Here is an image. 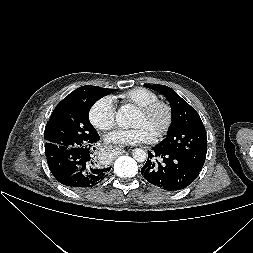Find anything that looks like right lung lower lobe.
Wrapping results in <instances>:
<instances>
[{
    "label": "right lung lower lobe",
    "mask_w": 253,
    "mask_h": 253,
    "mask_svg": "<svg viewBox=\"0 0 253 253\" xmlns=\"http://www.w3.org/2000/svg\"><path fill=\"white\" fill-rule=\"evenodd\" d=\"M99 140L96 133L94 140L87 146L74 147L59 154L46 156L49 169L61 184L70 188H89L103 181L110 171L98 162L94 153Z\"/></svg>",
    "instance_id": "obj_1"
}]
</instances>
